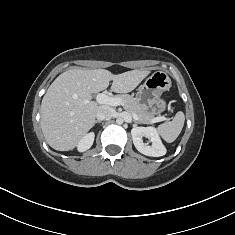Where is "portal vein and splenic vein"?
I'll return each instance as SVG.
<instances>
[{
    "label": "portal vein and splenic vein",
    "mask_w": 235,
    "mask_h": 235,
    "mask_svg": "<svg viewBox=\"0 0 235 235\" xmlns=\"http://www.w3.org/2000/svg\"><path fill=\"white\" fill-rule=\"evenodd\" d=\"M96 101L99 104H107L110 106H118V105H122L121 99L118 97H109L108 95L104 94V93H100L96 96ZM132 117L134 120L138 121V116L133 113ZM168 120L165 117H155L152 119V123H156V122H160V121H165Z\"/></svg>",
    "instance_id": "18ae733b"
}]
</instances>
